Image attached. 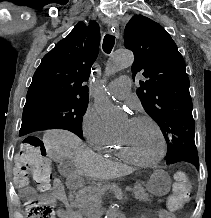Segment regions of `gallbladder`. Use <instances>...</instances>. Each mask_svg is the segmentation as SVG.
Wrapping results in <instances>:
<instances>
[{"label":"gallbladder","mask_w":211,"mask_h":218,"mask_svg":"<svg viewBox=\"0 0 211 218\" xmlns=\"http://www.w3.org/2000/svg\"><path fill=\"white\" fill-rule=\"evenodd\" d=\"M80 170L79 166H75L74 162L72 160H68V158H65V160H61L58 164V172L61 174V176H73L78 174V171Z\"/></svg>","instance_id":"1"}]
</instances>
